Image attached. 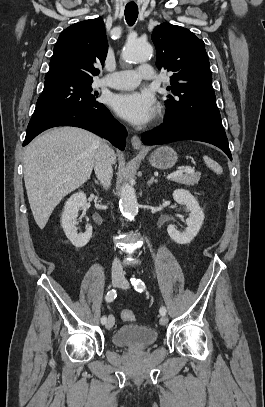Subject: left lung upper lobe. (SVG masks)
I'll return each instance as SVG.
<instances>
[{"mask_svg":"<svg viewBox=\"0 0 265 407\" xmlns=\"http://www.w3.org/2000/svg\"><path fill=\"white\" fill-rule=\"evenodd\" d=\"M152 40L156 66L173 73L163 123L191 121L225 133L204 42L188 29L167 23L155 27Z\"/></svg>","mask_w":265,"mask_h":407,"instance_id":"5c2ea615","label":"left lung upper lobe"}]
</instances>
